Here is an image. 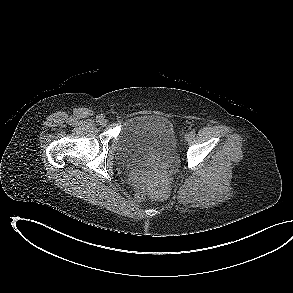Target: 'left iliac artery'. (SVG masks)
Instances as JSON below:
<instances>
[{"label":"left iliac artery","instance_id":"left-iliac-artery-1","mask_svg":"<svg viewBox=\"0 0 293 293\" xmlns=\"http://www.w3.org/2000/svg\"><path fill=\"white\" fill-rule=\"evenodd\" d=\"M195 134H196V131L193 129V130L190 132V135H191V136H195Z\"/></svg>","mask_w":293,"mask_h":293}]
</instances>
